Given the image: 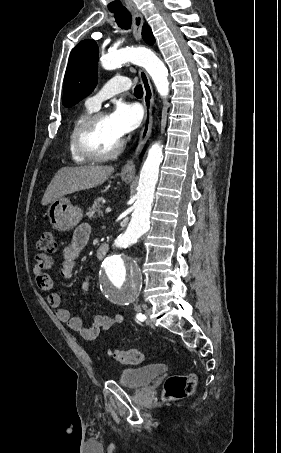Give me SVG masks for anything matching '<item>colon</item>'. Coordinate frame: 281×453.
I'll return each instance as SVG.
<instances>
[{
    "mask_svg": "<svg viewBox=\"0 0 281 453\" xmlns=\"http://www.w3.org/2000/svg\"><path fill=\"white\" fill-rule=\"evenodd\" d=\"M55 232L53 230H45L41 239L37 243L38 253L40 250H45L46 255H57L58 248L55 246ZM113 361L118 363H143L147 356L144 352L134 349H113L110 352ZM194 374L186 372L170 376L165 384V394L170 399H183L190 390Z\"/></svg>",
    "mask_w": 281,
    "mask_h": 453,
    "instance_id": "5ec220e1",
    "label": "colon"
}]
</instances>
